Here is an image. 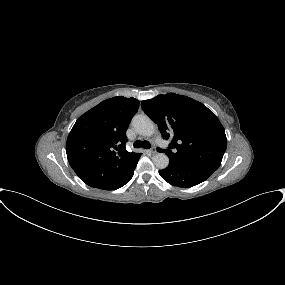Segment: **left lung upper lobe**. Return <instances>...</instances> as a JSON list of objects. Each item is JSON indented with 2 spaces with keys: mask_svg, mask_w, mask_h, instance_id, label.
<instances>
[{
  "mask_svg": "<svg viewBox=\"0 0 285 285\" xmlns=\"http://www.w3.org/2000/svg\"><path fill=\"white\" fill-rule=\"evenodd\" d=\"M144 112L158 124L164 138L161 150L170 163L216 171L227 148L225 130L215 114L187 96L168 93L141 102Z\"/></svg>",
  "mask_w": 285,
  "mask_h": 285,
  "instance_id": "left-lung-upper-lobe-1",
  "label": "left lung upper lobe"
}]
</instances>
